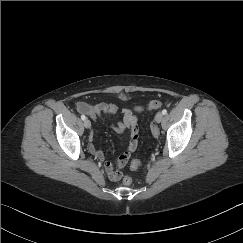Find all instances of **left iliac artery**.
<instances>
[{
	"label": "left iliac artery",
	"instance_id": "1",
	"mask_svg": "<svg viewBox=\"0 0 243 243\" xmlns=\"http://www.w3.org/2000/svg\"><path fill=\"white\" fill-rule=\"evenodd\" d=\"M162 114H163V115H166V114H167V110H166V109H163V110H162Z\"/></svg>",
	"mask_w": 243,
	"mask_h": 243
}]
</instances>
